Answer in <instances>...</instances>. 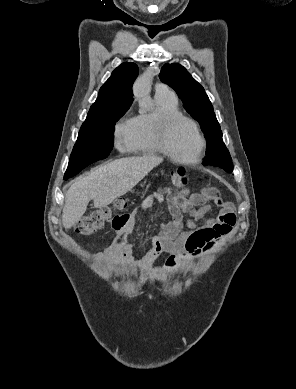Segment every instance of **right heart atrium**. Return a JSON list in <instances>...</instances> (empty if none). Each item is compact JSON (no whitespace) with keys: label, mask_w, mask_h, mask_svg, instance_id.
Wrapping results in <instances>:
<instances>
[{"label":"right heart atrium","mask_w":296,"mask_h":389,"mask_svg":"<svg viewBox=\"0 0 296 389\" xmlns=\"http://www.w3.org/2000/svg\"><path fill=\"white\" fill-rule=\"evenodd\" d=\"M130 121L131 119L122 118L114 127V144L120 150H125L128 147L130 137Z\"/></svg>","instance_id":"right-heart-atrium-1"}]
</instances>
